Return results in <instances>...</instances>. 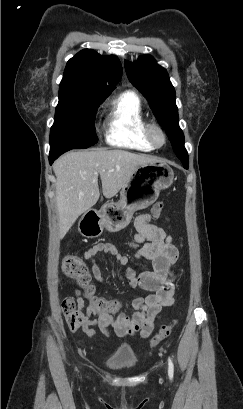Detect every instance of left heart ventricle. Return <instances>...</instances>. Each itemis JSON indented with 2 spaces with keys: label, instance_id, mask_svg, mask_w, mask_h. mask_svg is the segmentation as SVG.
Returning a JSON list of instances; mask_svg holds the SVG:
<instances>
[{
  "label": "left heart ventricle",
  "instance_id": "b2bd125f",
  "mask_svg": "<svg viewBox=\"0 0 243 409\" xmlns=\"http://www.w3.org/2000/svg\"><path fill=\"white\" fill-rule=\"evenodd\" d=\"M158 139L161 140V137L158 135Z\"/></svg>",
  "mask_w": 243,
  "mask_h": 409
}]
</instances>
